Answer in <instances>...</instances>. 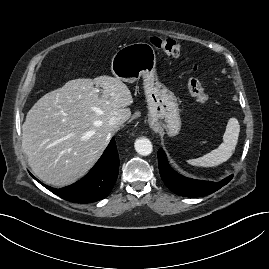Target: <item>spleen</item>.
<instances>
[{"mask_svg": "<svg viewBox=\"0 0 269 269\" xmlns=\"http://www.w3.org/2000/svg\"><path fill=\"white\" fill-rule=\"evenodd\" d=\"M240 132V125L236 118H230L223 135V142L218 148L196 159H189L187 162L193 166L215 167L226 162L233 154Z\"/></svg>", "mask_w": 269, "mask_h": 269, "instance_id": "spleen-1", "label": "spleen"}]
</instances>
